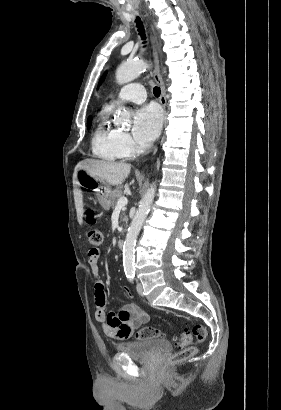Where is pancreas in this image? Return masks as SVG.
Wrapping results in <instances>:
<instances>
[{"instance_id": "obj_1", "label": "pancreas", "mask_w": 281, "mask_h": 410, "mask_svg": "<svg viewBox=\"0 0 281 410\" xmlns=\"http://www.w3.org/2000/svg\"><path fill=\"white\" fill-rule=\"evenodd\" d=\"M123 196H124V193H123V187L122 186H118L116 189H114L112 191V202H111L112 208L116 207L119 198H121ZM122 216H123V219H122L123 222L127 223L128 222V217L125 215V212H122Z\"/></svg>"}]
</instances>
